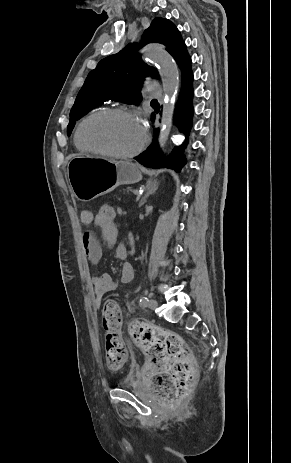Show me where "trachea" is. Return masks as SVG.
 I'll use <instances>...</instances> for the list:
<instances>
[{"label": "trachea", "instance_id": "obj_1", "mask_svg": "<svg viewBox=\"0 0 291 463\" xmlns=\"http://www.w3.org/2000/svg\"><path fill=\"white\" fill-rule=\"evenodd\" d=\"M151 102H157V100H152Z\"/></svg>", "mask_w": 291, "mask_h": 463}]
</instances>
